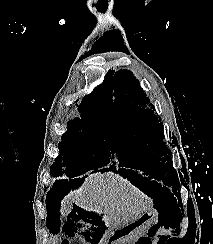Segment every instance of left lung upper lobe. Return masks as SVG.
Masks as SVG:
<instances>
[{
    "mask_svg": "<svg viewBox=\"0 0 213 244\" xmlns=\"http://www.w3.org/2000/svg\"><path fill=\"white\" fill-rule=\"evenodd\" d=\"M99 95L112 115L115 127L135 155L138 168L152 171L156 179L174 192L178 191L179 180L172 165V154L161 141L165 138L163 123H159L161 119L154 114V106L133 73L124 69L109 71ZM135 132L137 135L133 137Z\"/></svg>",
    "mask_w": 213,
    "mask_h": 244,
    "instance_id": "left-lung-upper-lobe-1",
    "label": "left lung upper lobe"
}]
</instances>
